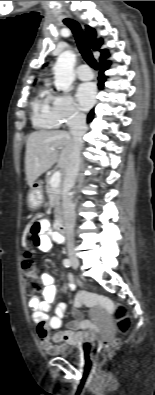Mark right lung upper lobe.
Returning a JSON list of instances; mask_svg holds the SVG:
<instances>
[{"label": "right lung upper lobe", "instance_id": "cb5924a9", "mask_svg": "<svg viewBox=\"0 0 155 395\" xmlns=\"http://www.w3.org/2000/svg\"><path fill=\"white\" fill-rule=\"evenodd\" d=\"M85 31L89 37L90 46L94 51H100L101 57L100 61H104L105 58L108 56V51L106 49H100L103 41L102 39H96V31L89 27L88 25L85 26Z\"/></svg>", "mask_w": 155, "mask_h": 395}]
</instances>
